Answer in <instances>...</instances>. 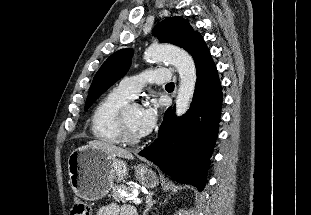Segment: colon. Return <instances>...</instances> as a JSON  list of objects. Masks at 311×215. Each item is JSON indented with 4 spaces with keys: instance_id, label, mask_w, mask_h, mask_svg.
Listing matches in <instances>:
<instances>
[{
    "instance_id": "colon-1",
    "label": "colon",
    "mask_w": 311,
    "mask_h": 215,
    "mask_svg": "<svg viewBox=\"0 0 311 215\" xmlns=\"http://www.w3.org/2000/svg\"><path fill=\"white\" fill-rule=\"evenodd\" d=\"M71 215H91V209L84 200L75 198L72 203Z\"/></svg>"
}]
</instances>
